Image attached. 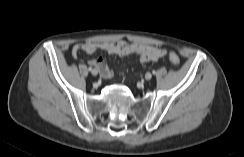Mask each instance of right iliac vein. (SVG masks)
<instances>
[{
    "instance_id": "obj_1",
    "label": "right iliac vein",
    "mask_w": 244,
    "mask_h": 157,
    "mask_svg": "<svg viewBox=\"0 0 244 157\" xmlns=\"http://www.w3.org/2000/svg\"><path fill=\"white\" fill-rule=\"evenodd\" d=\"M92 75H93V76H97V75H98V71H97L96 69H94V70L92 71Z\"/></svg>"
}]
</instances>
